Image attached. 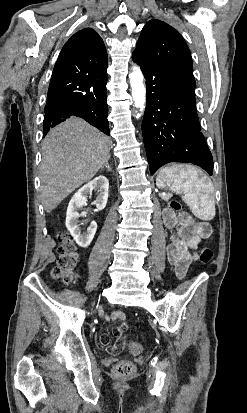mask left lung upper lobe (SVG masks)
<instances>
[{"mask_svg":"<svg viewBox=\"0 0 247 413\" xmlns=\"http://www.w3.org/2000/svg\"><path fill=\"white\" fill-rule=\"evenodd\" d=\"M134 54L196 86L190 50L183 37L165 22L154 19L146 23Z\"/></svg>","mask_w":247,"mask_h":413,"instance_id":"1","label":"left lung upper lobe"}]
</instances>
